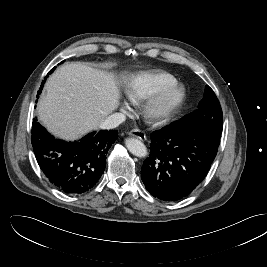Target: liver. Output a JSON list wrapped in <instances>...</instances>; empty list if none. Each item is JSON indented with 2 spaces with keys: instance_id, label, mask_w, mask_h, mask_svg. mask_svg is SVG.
Returning <instances> with one entry per match:
<instances>
[{
  "instance_id": "obj_1",
  "label": "liver",
  "mask_w": 267,
  "mask_h": 267,
  "mask_svg": "<svg viewBox=\"0 0 267 267\" xmlns=\"http://www.w3.org/2000/svg\"><path fill=\"white\" fill-rule=\"evenodd\" d=\"M45 89L37 108L39 120L64 140H76L97 130L120 104L114 76L82 63L58 68L48 78Z\"/></svg>"
}]
</instances>
